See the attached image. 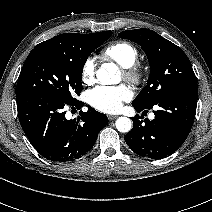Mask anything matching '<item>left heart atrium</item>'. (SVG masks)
Wrapping results in <instances>:
<instances>
[{
	"label": "left heart atrium",
	"mask_w": 212,
	"mask_h": 212,
	"mask_svg": "<svg viewBox=\"0 0 212 212\" xmlns=\"http://www.w3.org/2000/svg\"><path fill=\"white\" fill-rule=\"evenodd\" d=\"M131 98V91L125 85L98 86L87 94L89 104L98 111L112 113L118 111L123 102Z\"/></svg>",
	"instance_id": "left-heart-atrium-1"
}]
</instances>
